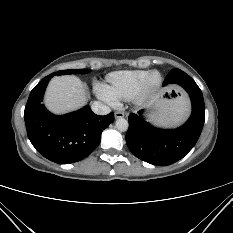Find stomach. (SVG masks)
Masks as SVG:
<instances>
[{
  "instance_id": "0dacf381",
  "label": "stomach",
  "mask_w": 233,
  "mask_h": 233,
  "mask_svg": "<svg viewBox=\"0 0 233 233\" xmlns=\"http://www.w3.org/2000/svg\"><path fill=\"white\" fill-rule=\"evenodd\" d=\"M188 112L189 104L182 93L169 88L156 96L151 118L160 125L176 126L187 117Z\"/></svg>"
}]
</instances>
